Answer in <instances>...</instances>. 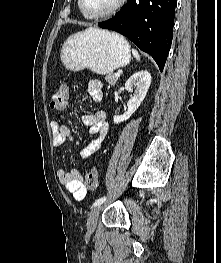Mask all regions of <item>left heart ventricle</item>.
Instances as JSON below:
<instances>
[{
    "label": "left heart ventricle",
    "instance_id": "b2bd125f",
    "mask_svg": "<svg viewBox=\"0 0 221 263\" xmlns=\"http://www.w3.org/2000/svg\"><path fill=\"white\" fill-rule=\"evenodd\" d=\"M118 0H83L86 11L92 14H99L116 4Z\"/></svg>",
    "mask_w": 221,
    "mask_h": 263
}]
</instances>
